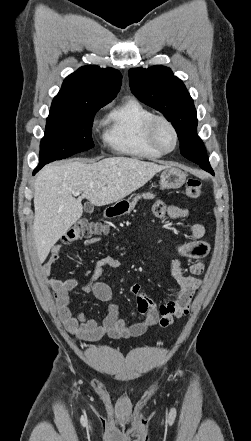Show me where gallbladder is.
Listing matches in <instances>:
<instances>
[{
  "instance_id": "1",
  "label": "gallbladder",
  "mask_w": 251,
  "mask_h": 441,
  "mask_svg": "<svg viewBox=\"0 0 251 441\" xmlns=\"http://www.w3.org/2000/svg\"><path fill=\"white\" fill-rule=\"evenodd\" d=\"M84 210L86 213L91 214L94 211V206L91 203H86L84 206Z\"/></svg>"
}]
</instances>
